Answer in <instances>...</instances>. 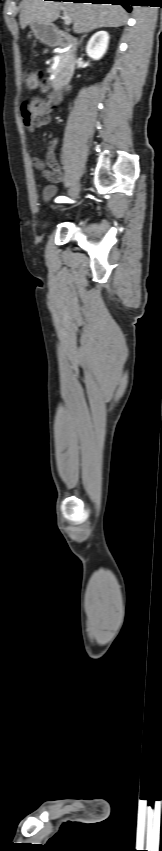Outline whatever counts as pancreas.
<instances>
[{"label": "pancreas", "instance_id": "1", "mask_svg": "<svg viewBox=\"0 0 162 851\" xmlns=\"http://www.w3.org/2000/svg\"><path fill=\"white\" fill-rule=\"evenodd\" d=\"M70 55H71V53H70L69 51H68V52H64V53H57L56 57H55V58H54V60H53V62H54V63H57V66H56V68H55V69H53L52 67H50V68H49V73H52V74L57 75V74L60 72V70H61V69H62V68L66 65V63L68 62V60H69V58H70Z\"/></svg>", "mask_w": 162, "mask_h": 851}]
</instances>
